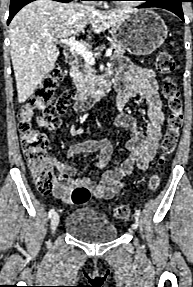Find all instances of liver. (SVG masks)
<instances>
[{"instance_id":"1","label":"liver","mask_w":193,"mask_h":287,"mask_svg":"<svg viewBox=\"0 0 193 287\" xmlns=\"http://www.w3.org/2000/svg\"><path fill=\"white\" fill-rule=\"evenodd\" d=\"M131 9L97 11L77 2L37 0L23 7L9 25L11 59L19 103H24L50 72L60 54L52 38H67L84 33L86 25L99 34L132 13Z\"/></svg>"}]
</instances>
